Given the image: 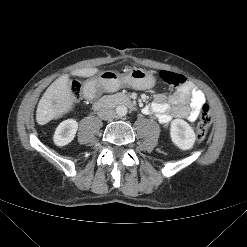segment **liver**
I'll use <instances>...</instances> for the list:
<instances>
[{
	"instance_id": "liver-1",
	"label": "liver",
	"mask_w": 247,
	"mask_h": 247,
	"mask_svg": "<svg viewBox=\"0 0 247 247\" xmlns=\"http://www.w3.org/2000/svg\"><path fill=\"white\" fill-rule=\"evenodd\" d=\"M98 72L97 68H83L74 70L72 74L79 77H91ZM73 102L74 96L69 86V75L64 74L56 79L41 97L36 111L37 123L45 125L68 112Z\"/></svg>"
}]
</instances>
